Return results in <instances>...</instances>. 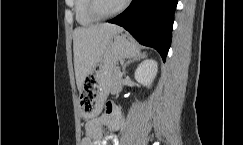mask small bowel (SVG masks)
I'll return each mask as SVG.
<instances>
[{
  "label": "small bowel",
  "instance_id": "c3829d8e",
  "mask_svg": "<svg viewBox=\"0 0 243 145\" xmlns=\"http://www.w3.org/2000/svg\"><path fill=\"white\" fill-rule=\"evenodd\" d=\"M121 124L120 110L112 104L107 105L105 112L87 123L82 145H108L109 141L112 145H120L115 132L120 129ZM103 128L110 132L106 137L103 136Z\"/></svg>",
  "mask_w": 243,
  "mask_h": 145
}]
</instances>
